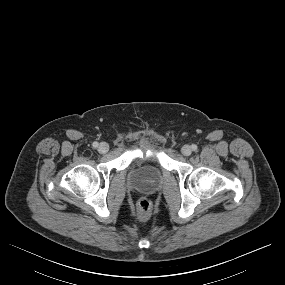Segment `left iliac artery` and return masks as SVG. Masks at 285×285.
<instances>
[{"instance_id":"left-iliac-artery-1","label":"left iliac artery","mask_w":285,"mask_h":285,"mask_svg":"<svg viewBox=\"0 0 285 285\" xmlns=\"http://www.w3.org/2000/svg\"><path fill=\"white\" fill-rule=\"evenodd\" d=\"M191 148H192L193 151H196V150L198 149L197 145H195V144H193V145L191 146Z\"/></svg>"}]
</instances>
